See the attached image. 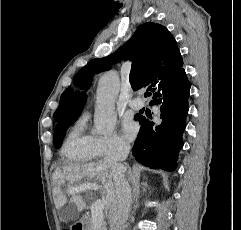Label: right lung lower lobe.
Wrapping results in <instances>:
<instances>
[{
    "mask_svg": "<svg viewBox=\"0 0 241 230\" xmlns=\"http://www.w3.org/2000/svg\"><path fill=\"white\" fill-rule=\"evenodd\" d=\"M154 105L160 106L158 119L137 118L141 129L132 149L136 160L152 169L173 171L183 146L182 134L189 110L190 82L182 66L152 90Z\"/></svg>",
    "mask_w": 241,
    "mask_h": 230,
    "instance_id": "right-lung-lower-lobe-1",
    "label": "right lung lower lobe"
}]
</instances>
